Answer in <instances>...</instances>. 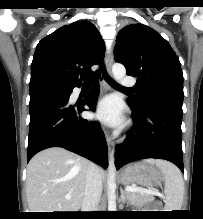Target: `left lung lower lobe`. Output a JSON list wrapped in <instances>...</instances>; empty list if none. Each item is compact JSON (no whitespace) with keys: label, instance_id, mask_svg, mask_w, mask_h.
Masks as SVG:
<instances>
[{"label":"left lung lower lobe","instance_id":"0a47b994","mask_svg":"<svg viewBox=\"0 0 203 219\" xmlns=\"http://www.w3.org/2000/svg\"><path fill=\"white\" fill-rule=\"evenodd\" d=\"M133 111L134 126L123 143L116 145V168L145 158L164 159L182 172V102L151 100L141 107L127 100Z\"/></svg>","mask_w":203,"mask_h":219}]
</instances>
